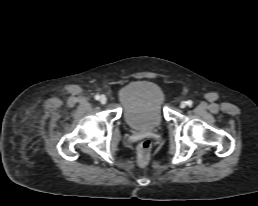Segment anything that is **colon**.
Listing matches in <instances>:
<instances>
[{"label":"colon","instance_id":"5ec220e1","mask_svg":"<svg viewBox=\"0 0 258 206\" xmlns=\"http://www.w3.org/2000/svg\"><path fill=\"white\" fill-rule=\"evenodd\" d=\"M151 154V142L149 140L142 141L138 147L136 152V159L138 164H146L150 158Z\"/></svg>","mask_w":258,"mask_h":206}]
</instances>
